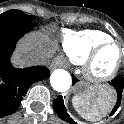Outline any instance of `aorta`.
<instances>
[{
	"label": "aorta",
	"mask_w": 124,
	"mask_h": 124,
	"mask_svg": "<svg viewBox=\"0 0 124 124\" xmlns=\"http://www.w3.org/2000/svg\"><path fill=\"white\" fill-rule=\"evenodd\" d=\"M72 79L70 74L63 70H54L50 76V84L55 91L65 92L70 88Z\"/></svg>",
	"instance_id": "aorta-1"
}]
</instances>
